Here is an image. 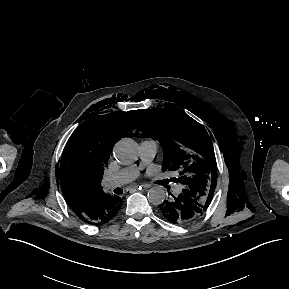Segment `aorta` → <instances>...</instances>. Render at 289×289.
<instances>
[{"mask_svg":"<svg viewBox=\"0 0 289 289\" xmlns=\"http://www.w3.org/2000/svg\"><path fill=\"white\" fill-rule=\"evenodd\" d=\"M115 159L122 164H130L135 162L139 156V146L131 138H122L113 148ZM165 191L161 186H154L149 189L147 198L153 205H160L165 200Z\"/></svg>","mask_w":289,"mask_h":289,"instance_id":"obj_1","label":"aorta"}]
</instances>
